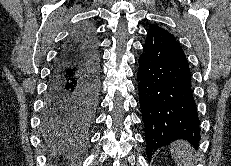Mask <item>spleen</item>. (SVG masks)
<instances>
[{
	"label": "spleen",
	"mask_w": 231,
	"mask_h": 166,
	"mask_svg": "<svg viewBox=\"0 0 231 166\" xmlns=\"http://www.w3.org/2000/svg\"><path fill=\"white\" fill-rule=\"evenodd\" d=\"M170 150L178 166L194 165L193 149L188 142L176 141L171 144Z\"/></svg>",
	"instance_id": "3e777b00"
}]
</instances>
